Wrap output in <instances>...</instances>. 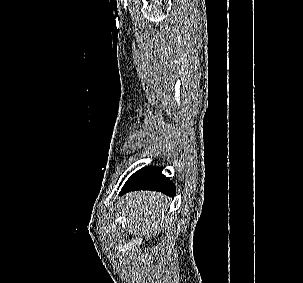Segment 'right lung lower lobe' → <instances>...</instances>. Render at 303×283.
<instances>
[{
	"mask_svg": "<svg viewBox=\"0 0 303 283\" xmlns=\"http://www.w3.org/2000/svg\"><path fill=\"white\" fill-rule=\"evenodd\" d=\"M135 190H152L174 196L175 185L161 173L160 168L144 167L135 172L124 184L121 194Z\"/></svg>",
	"mask_w": 303,
	"mask_h": 283,
	"instance_id": "right-lung-lower-lobe-1",
	"label": "right lung lower lobe"
}]
</instances>
